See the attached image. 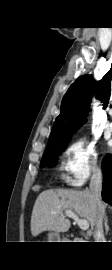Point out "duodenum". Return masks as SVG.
Segmentation results:
<instances>
[{"label":"duodenum","mask_w":112,"mask_h":270,"mask_svg":"<svg viewBox=\"0 0 112 270\" xmlns=\"http://www.w3.org/2000/svg\"><path fill=\"white\" fill-rule=\"evenodd\" d=\"M74 242H81L79 239H74Z\"/></svg>","instance_id":"410a0bca"}]
</instances>
